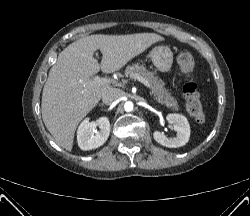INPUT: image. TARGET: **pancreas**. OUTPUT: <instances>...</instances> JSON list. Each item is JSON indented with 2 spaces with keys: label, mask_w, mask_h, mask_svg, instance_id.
<instances>
[{
  "label": "pancreas",
  "mask_w": 250,
  "mask_h": 216,
  "mask_svg": "<svg viewBox=\"0 0 250 216\" xmlns=\"http://www.w3.org/2000/svg\"><path fill=\"white\" fill-rule=\"evenodd\" d=\"M132 74H138L148 81L151 85V94L160 104H164L175 111L179 110L177 100L171 96L168 90L164 87L165 83L155 76L154 72L149 71L144 65L136 63L128 65L125 69V75L127 77L131 78Z\"/></svg>",
  "instance_id": "obj_1"
}]
</instances>
